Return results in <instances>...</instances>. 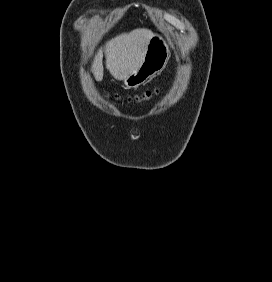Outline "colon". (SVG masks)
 <instances>
[{
    "mask_svg": "<svg viewBox=\"0 0 272 282\" xmlns=\"http://www.w3.org/2000/svg\"><path fill=\"white\" fill-rule=\"evenodd\" d=\"M155 92H156L155 90H146L142 92L140 95H137L135 98L140 101H145L148 100L151 97V95Z\"/></svg>",
    "mask_w": 272,
    "mask_h": 282,
    "instance_id": "obj_1",
    "label": "colon"
}]
</instances>
